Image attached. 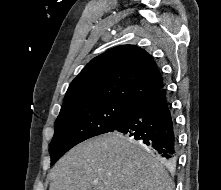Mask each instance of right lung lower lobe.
Here are the masks:
<instances>
[{"mask_svg":"<svg viewBox=\"0 0 221 190\" xmlns=\"http://www.w3.org/2000/svg\"><path fill=\"white\" fill-rule=\"evenodd\" d=\"M139 140L162 160L177 159V132L171 103L165 88L135 104L111 132Z\"/></svg>","mask_w":221,"mask_h":190,"instance_id":"obj_1","label":"right lung lower lobe"}]
</instances>
